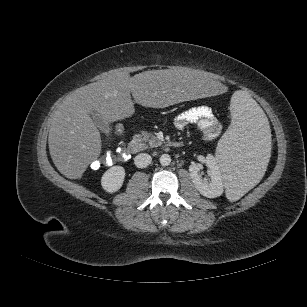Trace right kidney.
Segmentation results:
<instances>
[{"label": "right kidney", "mask_w": 307, "mask_h": 307, "mask_svg": "<svg viewBox=\"0 0 307 307\" xmlns=\"http://www.w3.org/2000/svg\"><path fill=\"white\" fill-rule=\"evenodd\" d=\"M125 169L122 166H113L101 178V185L106 192L118 191L124 182Z\"/></svg>", "instance_id": "right-kidney-1"}]
</instances>
